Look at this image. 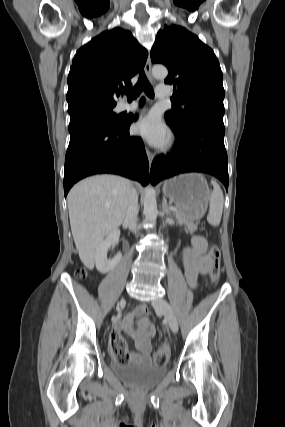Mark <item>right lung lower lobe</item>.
<instances>
[{
    "instance_id": "98d812e1",
    "label": "right lung lower lobe",
    "mask_w": 285,
    "mask_h": 427,
    "mask_svg": "<svg viewBox=\"0 0 285 427\" xmlns=\"http://www.w3.org/2000/svg\"><path fill=\"white\" fill-rule=\"evenodd\" d=\"M134 119L133 115L126 116L118 125L90 121L70 132L64 169L65 196L77 181L94 174H118L142 185L149 182V163L142 140L129 135Z\"/></svg>"
}]
</instances>
